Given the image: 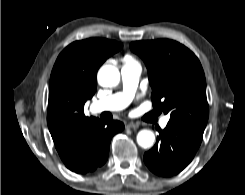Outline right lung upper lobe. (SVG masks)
Masks as SVG:
<instances>
[{
    "label": "right lung upper lobe",
    "mask_w": 245,
    "mask_h": 195,
    "mask_svg": "<svg viewBox=\"0 0 245 195\" xmlns=\"http://www.w3.org/2000/svg\"><path fill=\"white\" fill-rule=\"evenodd\" d=\"M123 45L90 38L68 45L58 56L49 85L47 123L63 162L79 154L90 127L98 118L84 115V104L97 89V71Z\"/></svg>",
    "instance_id": "cb5924a9"
}]
</instances>
